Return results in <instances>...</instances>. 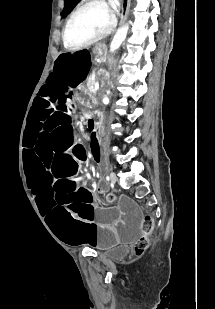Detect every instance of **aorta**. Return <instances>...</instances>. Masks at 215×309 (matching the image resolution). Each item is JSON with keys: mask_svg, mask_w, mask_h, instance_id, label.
Listing matches in <instances>:
<instances>
[{"mask_svg": "<svg viewBox=\"0 0 215 309\" xmlns=\"http://www.w3.org/2000/svg\"><path fill=\"white\" fill-rule=\"evenodd\" d=\"M128 28H129V24H123V26H120V28H118L110 44V52H114L116 48H119L121 42H123V40H125L127 36Z\"/></svg>", "mask_w": 215, "mask_h": 309, "instance_id": "aorta-1", "label": "aorta"}]
</instances>
